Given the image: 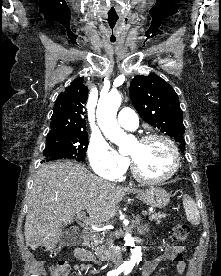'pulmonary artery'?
Wrapping results in <instances>:
<instances>
[{"mask_svg":"<svg viewBox=\"0 0 221 276\" xmlns=\"http://www.w3.org/2000/svg\"><path fill=\"white\" fill-rule=\"evenodd\" d=\"M118 123L126 129L134 130L138 127V116L130 108H123L118 114Z\"/></svg>","mask_w":221,"mask_h":276,"instance_id":"e3ab8cb5","label":"pulmonary artery"}]
</instances>
